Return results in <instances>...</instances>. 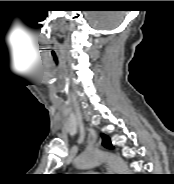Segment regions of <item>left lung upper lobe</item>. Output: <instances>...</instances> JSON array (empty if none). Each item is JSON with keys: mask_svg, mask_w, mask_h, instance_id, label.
Listing matches in <instances>:
<instances>
[{"mask_svg": "<svg viewBox=\"0 0 174 184\" xmlns=\"http://www.w3.org/2000/svg\"><path fill=\"white\" fill-rule=\"evenodd\" d=\"M102 140H103L102 144H103L104 147L109 148V149L113 148V146L111 144V141H110L108 136L102 134Z\"/></svg>", "mask_w": 174, "mask_h": 184, "instance_id": "1", "label": "left lung upper lobe"}]
</instances>
